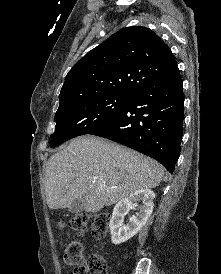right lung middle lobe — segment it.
Segmentation results:
<instances>
[{"label":"right lung middle lobe","instance_id":"obj_1","mask_svg":"<svg viewBox=\"0 0 221 274\" xmlns=\"http://www.w3.org/2000/svg\"><path fill=\"white\" fill-rule=\"evenodd\" d=\"M132 95L110 94L59 104L55 115V132L50 136L51 147L74 137L89 134L107 123Z\"/></svg>","mask_w":221,"mask_h":274}]
</instances>
